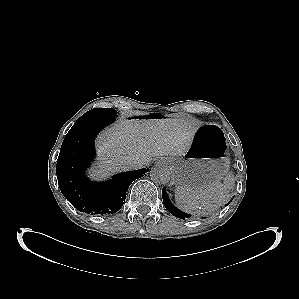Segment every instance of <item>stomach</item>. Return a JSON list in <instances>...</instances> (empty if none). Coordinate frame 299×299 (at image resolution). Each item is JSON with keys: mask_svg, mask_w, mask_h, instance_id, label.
<instances>
[{"mask_svg": "<svg viewBox=\"0 0 299 299\" xmlns=\"http://www.w3.org/2000/svg\"><path fill=\"white\" fill-rule=\"evenodd\" d=\"M165 162L180 186L198 189L220 181L230 164L222 130L213 123L200 125L187 152Z\"/></svg>", "mask_w": 299, "mask_h": 299, "instance_id": "1", "label": "stomach"}]
</instances>
